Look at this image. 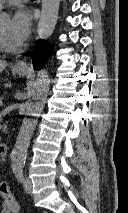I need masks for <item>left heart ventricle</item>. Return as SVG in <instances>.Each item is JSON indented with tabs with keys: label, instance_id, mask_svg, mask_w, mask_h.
<instances>
[{
	"label": "left heart ventricle",
	"instance_id": "obj_1",
	"mask_svg": "<svg viewBox=\"0 0 128 213\" xmlns=\"http://www.w3.org/2000/svg\"><path fill=\"white\" fill-rule=\"evenodd\" d=\"M0 32L3 34L4 38L7 40L8 43L17 46V44L14 42L12 38L10 19L6 18L0 20Z\"/></svg>",
	"mask_w": 128,
	"mask_h": 213
}]
</instances>
